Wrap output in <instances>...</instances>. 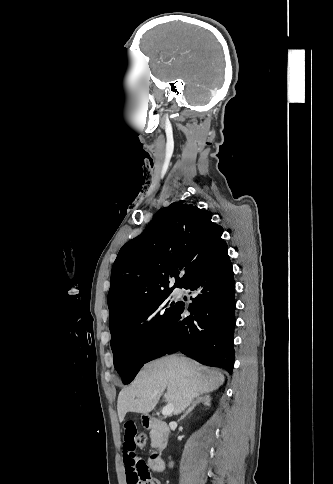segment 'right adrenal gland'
<instances>
[{"label": "right adrenal gland", "instance_id": "1", "mask_svg": "<svg viewBox=\"0 0 333 484\" xmlns=\"http://www.w3.org/2000/svg\"><path fill=\"white\" fill-rule=\"evenodd\" d=\"M199 403H202L203 405L205 406H210L211 404V397L210 395H203L201 397H198L196 399V401H194L192 403V405L188 408V410L186 411V413L184 415H182V417L180 418V420L184 419L189 413H191L193 411V409L195 408V406Z\"/></svg>", "mask_w": 333, "mask_h": 484}]
</instances>
